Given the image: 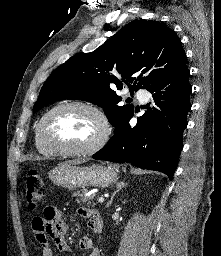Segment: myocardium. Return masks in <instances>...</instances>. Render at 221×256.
Wrapping results in <instances>:
<instances>
[{
	"label": "myocardium",
	"instance_id": "obj_1",
	"mask_svg": "<svg viewBox=\"0 0 221 256\" xmlns=\"http://www.w3.org/2000/svg\"><path fill=\"white\" fill-rule=\"evenodd\" d=\"M68 107H79L92 112L99 120L101 124V133L99 137L92 144L82 148H69L59 144H56L48 139L46 136L45 127L49 118L58 110ZM110 123L105 113L96 105L85 101H68L57 104L51 108L47 113L43 115L38 123V137L40 142L48 149L52 150L56 154L65 156H85L91 155L102 149L107 143L110 135Z\"/></svg>",
	"mask_w": 221,
	"mask_h": 256
}]
</instances>
